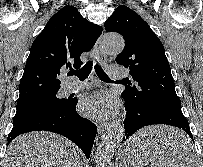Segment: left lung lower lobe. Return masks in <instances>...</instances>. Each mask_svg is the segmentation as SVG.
Listing matches in <instances>:
<instances>
[{
    "mask_svg": "<svg viewBox=\"0 0 203 167\" xmlns=\"http://www.w3.org/2000/svg\"><path fill=\"white\" fill-rule=\"evenodd\" d=\"M125 109L127 111L124 121L126 139L144 126L166 124L182 129L193 140L188 121L181 111V105L164 106L150 111L141 105L125 102ZM189 137L186 139L188 143L184 140L182 143L177 144L181 150L191 149ZM159 144L160 142L156 139H144L133 149L151 148Z\"/></svg>",
    "mask_w": 203,
    "mask_h": 167,
    "instance_id": "1",
    "label": "left lung lower lobe"
}]
</instances>
